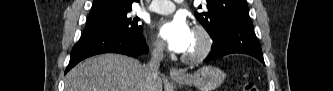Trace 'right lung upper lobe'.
<instances>
[{
	"label": "right lung upper lobe",
	"instance_id": "right-lung-upper-lobe-1",
	"mask_svg": "<svg viewBox=\"0 0 333 91\" xmlns=\"http://www.w3.org/2000/svg\"><path fill=\"white\" fill-rule=\"evenodd\" d=\"M139 0H94L90 19L120 14L131 10L132 3Z\"/></svg>",
	"mask_w": 333,
	"mask_h": 91
}]
</instances>
